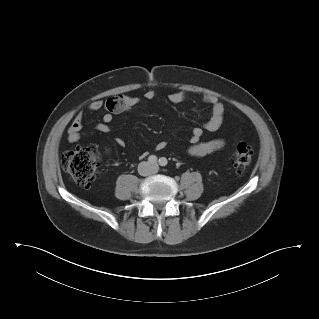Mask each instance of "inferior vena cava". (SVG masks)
<instances>
[{
  "instance_id": "inferior-vena-cava-1",
  "label": "inferior vena cava",
  "mask_w": 319,
  "mask_h": 319,
  "mask_svg": "<svg viewBox=\"0 0 319 319\" xmlns=\"http://www.w3.org/2000/svg\"><path fill=\"white\" fill-rule=\"evenodd\" d=\"M138 172L140 175L148 176L153 173L152 166L148 162H141L138 166Z\"/></svg>"
}]
</instances>
